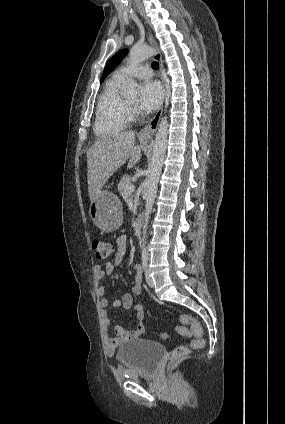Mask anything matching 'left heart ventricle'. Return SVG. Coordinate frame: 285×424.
<instances>
[{"mask_svg":"<svg viewBox=\"0 0 285 424\" xmlns=\"http://www.w3.org/2000/svg\"><path fill=\"white\" fill-rule=\"evenodd\" d=\"M127 101H128L130 104H132V105H135V104L137 103V99H136V98H129V99H127Z\"/></svg>","mask_w":285,"mask_h":424,"instance_id":"left-heart-ventricle-1","label":"left heart ventricle"}]
</instances>
